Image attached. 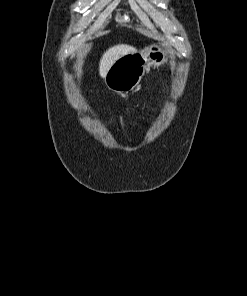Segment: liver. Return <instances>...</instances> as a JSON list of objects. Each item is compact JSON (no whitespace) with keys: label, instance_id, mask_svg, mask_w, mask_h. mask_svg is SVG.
<instances>
[{"label":"liver","instance_id":"6515ba94","mask_svg":"<svg viewBox=\"0 0 247 296\" xmlns=\"http://www.w3.org/2000/svg\"><path fill=\"white\" fill-rule=\"evenodd\" d=\"M136 49L130 45L119 44L109 48L102 55L99 63V74L102 78L105 77L106 73L113 65V63L120 57L127 55L129 53L135 52Z\"/></svg>","mask_w":247,"mask_h":296}]
</instances>
